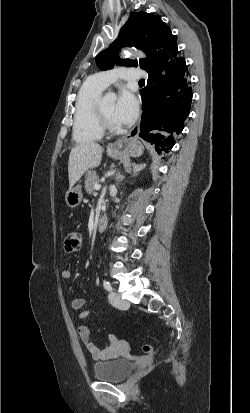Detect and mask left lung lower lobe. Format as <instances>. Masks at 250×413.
Segmentation results:
<instances>
[{
  "label": "left lung lower lobe",
  "mask_w": 250,
  "mask_h": 413,
  "mask_svg": "<svg viewBox=\"0 0 250 413\" xmlns=\"http://www.w3.org/2000/svg\"><path fill=\"white\" fill-rule=\"evenodd\" d=\"M147 71V86L140 90L143 113L140 134L156 147L168 152L175 144L189 115L192 101L188 68L177 50V43L164 42L157 47Z\"/></svg>",
  "instance_id": "0a47b994"
}]
</instances>
